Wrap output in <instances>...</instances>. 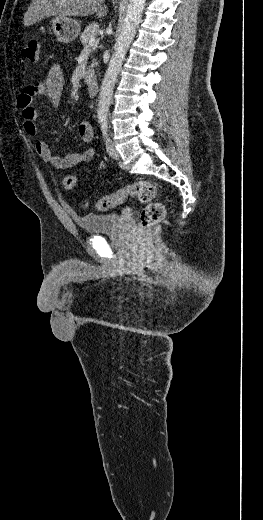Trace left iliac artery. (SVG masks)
I'll return each instance as SVG.
<instances>
[{
	"label": "left iliac artery",
	"instance_id": "obj_1",
	"mask_svg": "<svg viewBox=\"0 0 263 520\" xmlns=\"http://www.w3.org/2000/svg\"><path fill=\"white\" fill-rule=\"evenodd\" d=\"M101 130L104 137H107L108 123L107 120H101Z\"/></svg>",
	"mask_w": 263,
	"mask_h": 520
}]
</instances>
